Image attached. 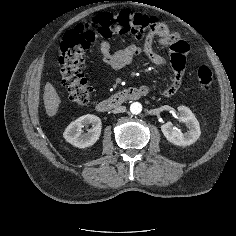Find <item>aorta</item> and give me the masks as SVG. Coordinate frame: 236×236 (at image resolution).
I'll list each match as a JSON object with an SVG mask.
<instances>
[{"label": "aorta", "instance_id": "762f6f07", "mask_svg": "<svg viewBox=\"0 0 236 236\" xmlns=\"http://www.w3.org/2000/svg\"><path fill=\"white\" fill-rule=\"evenodd\" d=\"M130 111L132 114L137 115L142 111V105L139 102H133L130 105Z\"/></svg>", "mask_w": 236, "mask_h": 236}]
</instances>
